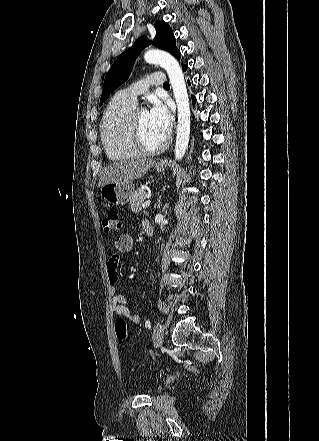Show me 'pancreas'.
Returning <instances> with one entry per match:
<instances>
[{"label": "pancreas", "mask_w": 319, "mask_h": 441, "mask_svg": "<svg viewBox=\"0 0 319 441\" xmlns=\"http://www.w3.org/2000/svg\"><path fill=\"white\" fill-rule=\"evenodd\" d=\"M147 197V193L144 190H137L130 201V208L132 212L138 213L142 210V205Z\"/></svg>", "instance_id": "cf45deb5"}]
</instances>
